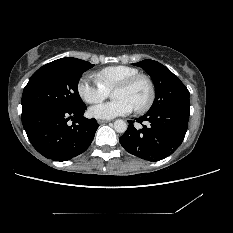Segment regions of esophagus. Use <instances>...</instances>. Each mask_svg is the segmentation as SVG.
<instances>
[{
  "instance_id": "1",
  "label": "esophagus",
  "mask_w": 233,
  "mask_h": 233,
  "mask_svg": "<svg viewBox=\"0 0 233 233\" xmlns=\"http://www.w3.org/2000/svg\"><path fill=\"white\" fill-rule=\"evenodd\" d=\"M111 121L109 120H98V123L99 124H107V123H110Z\"/></svg>"
}]
</instances>
